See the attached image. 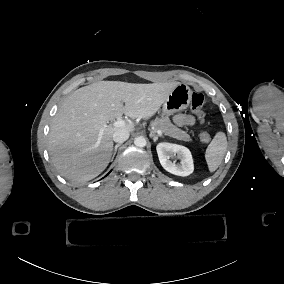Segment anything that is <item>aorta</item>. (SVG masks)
I'll use <instances>...</instances> for the list:
<instances>
[{"label":"aorta","mask_w":284,"mask_h":284,"mask_svg":"<svg viewBox=\"0 0 284 284\" xmlns=\"http://www.w3.org/2000/svg\"><path fill=\"white\" fill-rule=\"evenodd\" d=\"M134 144L137 147H145L146 146V139L143 136H138L134 140Z\"/></svg>","instance_id":"aorta-1"}]
</instances>
